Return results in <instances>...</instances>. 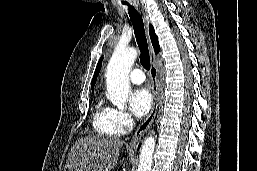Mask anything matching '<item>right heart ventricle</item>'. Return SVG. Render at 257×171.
<instances>
[{"label":"right heart ventricle","mask_w":257,"mask_h":171,"mask_svg":"<svg viewBox=\"0 0 257 171\" xmlns=\"http://www.w3.org/2000/svg\"><path fill=\"white\" fill-rule=\"evenodd\" d=\"M92 125L96 132L105 135H119L122 131L116 124L113 108L106 105L102 99L96 104Z\"/></svg>","instance_id":"obj_1"}]
</instances>
